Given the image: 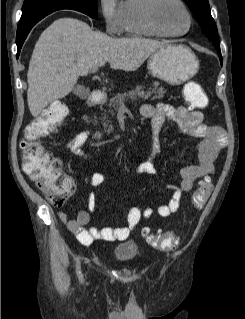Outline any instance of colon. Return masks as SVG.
<instances>
[{
    "instance_id": "obj_1",
    "label": "colon",
    "mask_w": 245,
    "mask_h": 319,
    "mask_svg": "<svg viewBox=\"0 0 245 319\" xmlns=\"http://www.w3.org/2000/svg\"><path fill=\"white\" fill-rule=\"evenodd\" d=\"M183 93L187 105L192 109H202L208 105V97L196 80L188 81ZM67 115L65 105L52 104L28 125L20 143L25 173L55 206L63 205L73 194L75 181L63 172L61 161L45 150L38 140L61 126ZM211 188V177L206 175L193 194V203L197 208L204 206ZM142 236L148 244L160 250L171 251L177 246L173 233H154L149 228H144Z\"/></svg>"
}]
</instances>
